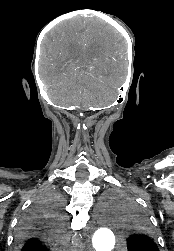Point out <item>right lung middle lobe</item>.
Here are the masks:
<instances>
[{
  "label": "right lung middle lobe",
  "mask_w": 174,
  "mask_h": 251,
  "mask_svg": "<svg viewBox=\"0 0 174 251\" xmlns=\"http://www.w3.org/2000/svg\"><path fill=\"white\" fill-rule=\"evenodd\" d=\"M63 199L60 193L56 191L48 192L42 195L33 207L32 213L37 211H45L61 222L63 218Z\"/></svg>",
  "instance_id": "obj_1"
}]
</instances>
